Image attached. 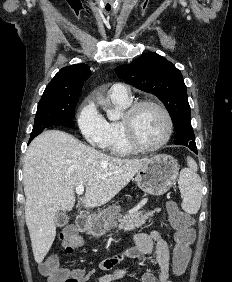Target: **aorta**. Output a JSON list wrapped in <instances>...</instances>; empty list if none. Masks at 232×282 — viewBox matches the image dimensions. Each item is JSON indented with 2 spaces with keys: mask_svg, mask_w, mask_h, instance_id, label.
Here are the masks:
<instances>
[{
  "mask_svg": "<svg viewBox=\"0 0 232 282\" xmlns=\"http://www.w3.org/2000/svg\"><path fill=\"white\" fill-rule=\"evenodd\" d=\"M100 104L103 105L104 109L106 110L108 102L105 100H100ZM107 116L110 120H117L120 117L118 112L109 109L107 110Z\"/></svg>",
  "mask_w": 232,
  "mask_h": 282,
  "instance_id": "aorta-1",
  "label": "aorta"
}]
</instances>
